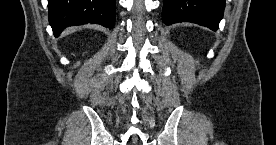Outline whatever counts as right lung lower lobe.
Wrapping results in <instances>:
<instances>
[{"label":"right lung lower lobe","mask_w":276,"mask_h":145,"mask_svg":"<svg viewBox=\"0 0 276 145\" xmlns=\"http://www.w3.org/2000/svg\"><path fill=\"white\" fill-rule=\"evenodd\" d=\"M49 23L57 37L67 26L96 23L112 29L115 0H48Z\"/></svg>","instance_id":"obj_1"}]
</instances>
